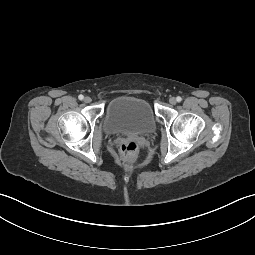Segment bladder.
<instances>
[{"label": "bladder", "instance_id": "31cf9c89", "mask_svg": "<svg viewBox=\"0 0 255 255\" xmlns=\"http://www.w3.org/2000/svg\"><path fill=\"white\" fill-rule=\"evenodd\" d=\"M104 128L107 133L145 135L156 128V119L148 101L134 96H118L106 106Z\"/></svg>", "mask_w": 255, "mask_h": 255}]
</instances>
